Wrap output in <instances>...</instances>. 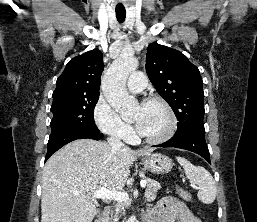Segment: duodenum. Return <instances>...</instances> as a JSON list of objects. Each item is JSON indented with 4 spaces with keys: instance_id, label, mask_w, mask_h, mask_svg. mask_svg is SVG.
I'll return each instance as SVG.
<instances>
[{
    "instance_id": "1",
    "label": "duodenum",
    "mask_w": 257,
    "mask_h": 222,
    "mask_svg": "<svg viewBox=\"0 0 257 222\" xmlns=\"http://www.w3.org/2000/svg\"><path fill=\"white\" fill-rule=\"evenodd\" d=\"M110 212H111V207L106 205L103 208L101 215L95 220V222H107Z\"/></svg>"
}]
</instances>
